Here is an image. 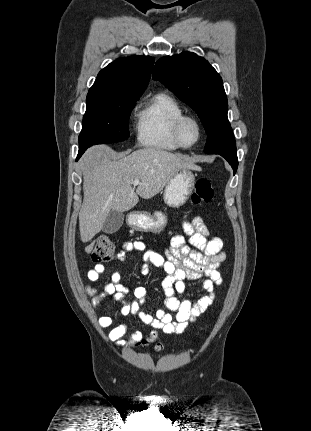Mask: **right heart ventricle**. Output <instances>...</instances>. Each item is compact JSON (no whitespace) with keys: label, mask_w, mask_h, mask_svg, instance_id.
<instances>
[{"label":"right heart ventricle","mask_w":311,"mask_h":431,"mask_svg":"<svg viewBox=\"0 0 311 431\" xmlns=\"http://www.w3.org/2000/svg\"><path fill=\"white\" fill-rule=\"evenodd\" d=\"M186 113L179 100L170 93L156 94L139 112L136 139L140 146L174 152L181 147L174 136L177 118Z\"/></svg>","instance_id":"e07e8e85"}]
</instances>
